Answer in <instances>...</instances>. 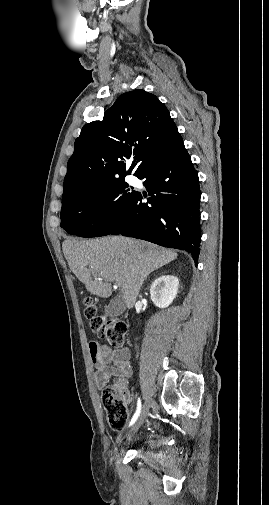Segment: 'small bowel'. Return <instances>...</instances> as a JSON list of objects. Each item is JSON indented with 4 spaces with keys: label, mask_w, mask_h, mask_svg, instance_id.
<instances>
[{
    "label": "small bowel",
    "mask_w": 269,
    "mask_h": 505,
    "mask_svg": "<svg viewBox=\"0 0 269 505\" xmlns=\"http://www.w3.org/2000/svg\"><path fill=\"white\" fill-rule=\"evenodd\" d=\"M89 351L96 368L95 382L99 389L105 388L112 377L126 381L131 376L130 352L127 348L113 350L108 345L90 342ZM119 393L125 403H130L127 388L122 387Z\"/></svg>",
    "instance_id": "1"
}]
</instances>
